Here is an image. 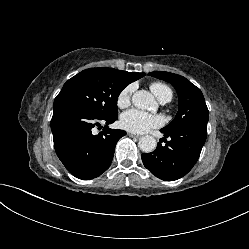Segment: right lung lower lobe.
Instances as JSON below:
<instances>
[{
    "instance_id": "obj_1",
    "label": "right lung lower lobe",
    "mask_w": 249,
    "mask_h": 249,
    "mask_svg": "<svg viewBox=\"0 0 249 249\" xmlns=\"http://www.w3.org/2000/svg\"><path fill=\"white\" fill-rule=\"evenodd\" d=\"M53 111L54 147L66 169L82 180L93 179L106 171L113 159L116 143L126 135L124 130L108 127L118 115L99 117L66 100H55ZM101 122L106 125L94 135L93 128L100 126Z\"/></svg>"
}]
</instances>
